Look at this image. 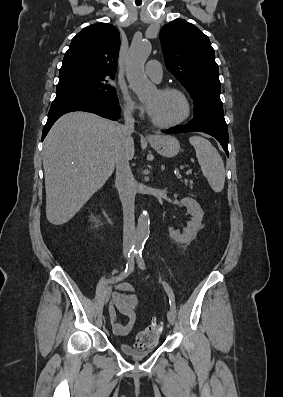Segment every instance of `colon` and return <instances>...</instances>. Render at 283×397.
Returning a JSON list of instances; mask_svg holds the SVG:
<instances>
[{"label": "colon", "instance_id": "1", "mask_svg": "<svg viewBox=\"0 0 283 397\" xmlns=\"http://www.w3.org/2000/svg\"><path fill=\"white\" fill-rule=\"evenodd\" d=\"M162 331V325L152 323L150 326L140 331L136 337V345L139 348H148L157 342Z\"/></svg>", "mask_w": 283, "mask_h": 397}]
</instances>
